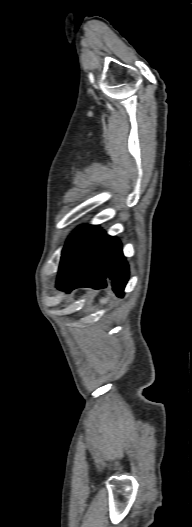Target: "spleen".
<instances>
[{"label": "spleen", "instance_id": "1", "mask_svg": "<svg viewBox=\"0 0 192 527\" xmlns=\"http://www.w3.org/2000/svg\"><path fill=\"white\" fill-rule=\"evenodd\" d=\"M101 302H102V303H106V300H105V299H102Z\"/></svg>", "mask_w": 192, "mask_h": 527}]
</instances>
